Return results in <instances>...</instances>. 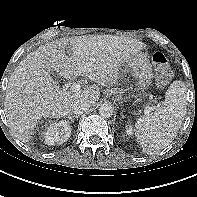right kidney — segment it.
Segmentation results:
<instances>
[{"label":"right kidney","mask_w":197,"mask_h":197,"mask_svg":"<svg viewBox=\"0 0 197 197\" xmlns=\"http://www.w3.org/2000/svg\"><path fill=\"white\" fill-rule=\"evenodd\" d=\"M71 130L72 129L68 121L62 120L51 123L44 133V142L47 145L65 143L71 135Z\"/></svg>","instance_id":"right-kidney-1"}]
</instances>
